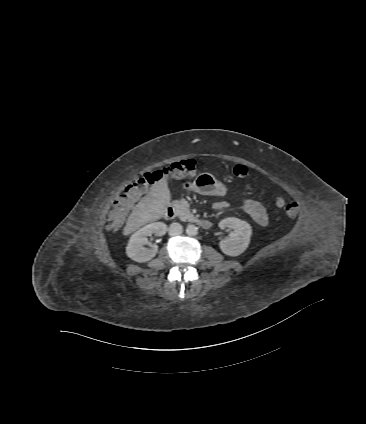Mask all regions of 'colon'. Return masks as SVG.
Returning <instances> with one entry per match:
<instances>
[{"label":"colon","instance_id":"1","mask_svg":"<svg viewBox=\"0 0 366 424\" xmlns=\"http://www.w3.org/2000/svg\"><path fill=\"white\" fill-rule=\"evenodd\" d=\"M197 170L196 162L189 159L173 163L161 170L144 173L127 186L125 192L115 201L106 219V227L110 230L117 229L123 223L125 213L132 202L137 199L146 188L159 182L163 177L177 179L191 177ZM232 172L239 178L250 176L248 169L243 165L234 166ZM251 178L255 179L256 177L252 175ZM275 204L279 209H282L283 214L288 218H293L298 213V205L296 203H286L281 195L275 197Z\"/></svg>","mask_w":366,"mask_h":424}]
</instances>
